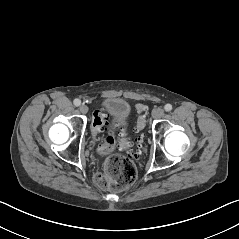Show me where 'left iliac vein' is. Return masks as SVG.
Wrapping results in <instances>:
<instances>
[{"mask_svg": "<svg viewBox=\"0 0 239 239\" xmlns=\"http://www.w3.org/2000/svg\"><path fill=\"white\" fill-rule=\"evenodd\" d=\"M164 116V110L162 108H156L152 112V117L154 119H160Z\"/></svg>", "mask_w": 239, "mask_h": 239, "instance_id": "left-iliac-vein-1", "label": "left iliac vein"}]
</instances>
